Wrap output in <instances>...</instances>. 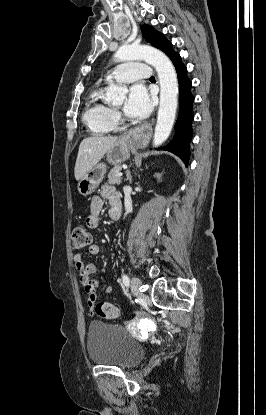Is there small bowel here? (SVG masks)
I'll return each mask as SVG.
<instances>
[{"label":"small bowel","mask_w":266,"mask_h":415,"mask_svg":"<svg viewBox=\"0 0 266 415\" xmlns=\"http://www.w3.org/2000/svg\"><path fill=\"white\" fill-rule=\"evenodd\" d=\"M104 201L110 205L109 215L112 219L119 218L121 210V201L119 195L114 187L105 185L101 188V196H94L90 205V212L86 218V224L91 229H96L100 223V213ZM91 255H97L100 252V247L97 244H91L88 248ZM73 264L75 269L80 273V282L87 293V303L91 314L97 300L96 288L98 282L93 278L96 271V266L93 263H84L82 254L75 253L73 255ZM112 288L108 286L106 292L110 293Z\"/></svg>","instance_id":"c3829d8e"}]
</instances>
